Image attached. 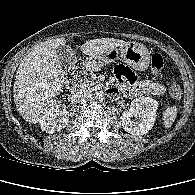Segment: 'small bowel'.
<instances>
[{
	"label": "small bowel",
	"instance_id": "obj_1",
	"mask_svg": "<svg viewBox=\"0 0 195 195\" xmlns=\"http://www.w3.org/2000/svg\"><path fill=\"white\" fill-rule=\"evenodd\" d=\"M115 77L116 86L111 88L112 94L121 90L126 96L135 97L142 94L160 95L165 91L162 84L150 80H140L128 67L123 65L115 68Z\"/></svg>",
	"mask_w": 195,
	"mask_h": 195
}]
</instances>
